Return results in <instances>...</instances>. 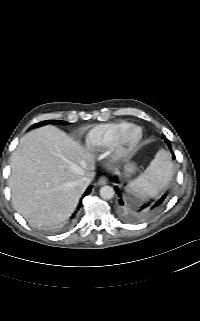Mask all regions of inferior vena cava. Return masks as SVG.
Returning <instances> with one entry per match:
<instances>
[{
    "mask_svg": "<svg viewBox=\"0 0 200 321\" xmlns=\"http://www.w3.org/2000/svg\"><path fill=\"white\" fill-rule=\"evenodd\" d=\"M91 179L88 177H81L80 179L77 180L76 185L82 190H85L88 185L90 184Z\"/></svg>",
    "mask_w": 200,
    "mask_h": 321,
    "instance_id": "1",
    "label": "inferior vena cava"
}]
</instances>
